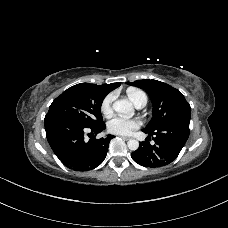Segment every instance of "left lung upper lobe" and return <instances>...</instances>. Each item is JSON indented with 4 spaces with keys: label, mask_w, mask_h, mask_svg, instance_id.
Wrapping results in <instances>:
<instances>
[{
    "label": "left lung upper lobe",
    "mask_w": 228,
    "mask_h": 228,
    "mask_svg": "<svg viewBox=\"0 0 228 228\" xmlns=\"http://www.w3.org/2000/svg\"><path fill=\"white\" fill-rule=\"evenodd\" d=\"M127 84L144 89L152 100L153 117L145 130L156 131L172 122L190 120L191 107L179 90L166 83L149 79L127 82Z\"/></svg>",
    "instance_id": "obj_1"
}]
</instances>
